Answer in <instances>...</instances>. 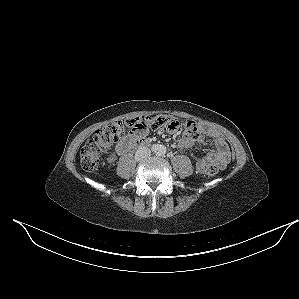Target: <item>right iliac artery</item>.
Returning <instances> with one entry per match:
<instances>
[{
  "label": "right iliac artery",
  "mask_w": 299,
  "mask_h": 299,
  "mask_svg": "<svg viewBox=\"0 0 299 299\" xmlns=\"http://www.w3.org/2000/svg\"><path fill=\"white\" fill-rule=\"evenodd\" d=\"M152 150H153V151H157V150H158V147H157V146H153V147H152Z\"/></svg>",
  "instance_id": "1"
}]
</instances>
